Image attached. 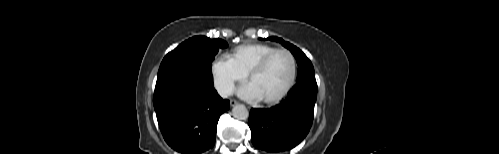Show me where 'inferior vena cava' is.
Here are the masks:
<instances>
[{"label": "inferior vena cava", "instance_id": "602c4592", "mask_svg": "<svg viewBox=\"0 0 499 154\" xmlns=\"http://www.w3.org/2000/svg\"><path fill=\"white\" fill-rule=\"evenodd\" d=\"M217 91L221 97H227L232 94L233 86L232 85H223L217 88Z\"/></svg>", "mask_w": 499, "mask_h": 154}]
</instances>
